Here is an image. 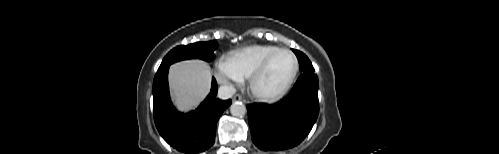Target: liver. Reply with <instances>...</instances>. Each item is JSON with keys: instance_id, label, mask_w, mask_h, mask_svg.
Returning a JSON list of instances; mask_svg holds the SVG:
<instances>
[{"instance_id": "6515ba94", "label": "liver", "mask_w": 499, "mask_h": 154, "mask_svg": "<svg viewBox=\"0 0 499 154\" xmlns=\"http://www.w3.org/2000/svg\"><path fill=\"white\" fill-rule=\"evenodd\" d=\"M211 77L210 66L202 60H186L171 65L169 84L177 109L188 112L196 107L209 93Z\"/></svg>"}]
</instances>
